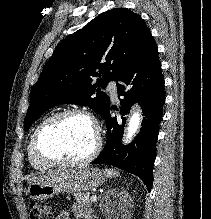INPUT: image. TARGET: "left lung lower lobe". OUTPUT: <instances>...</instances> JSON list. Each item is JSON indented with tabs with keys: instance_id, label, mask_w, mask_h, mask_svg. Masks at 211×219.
<instances>
[{
	"instance_id": "0a47b994",
	"label": "left lung lower lobe",
	"mask_w": 211,
	"mask_h": 219,
	"mask_svg": "<svg viewBox=\"0 0 211 219\" xmlns=\"http://www.w3.org/2000/svg\"><path fill=\"white\" fill-rule=\"evenodd\" d=\"M120 100V113L126 115L134 102L143 110L141 131L128 146L121 145L123 124L126 118L111 117L109 106L102 115L106 121L108 137L104 149L92 162L118 167L140 177L148 191L153 183V164L156 157V141L165 102L164 78L158 58V48L150 35L134 59L116 78ZM115 109V108H114ZM116 110H118L116 108Z\"/></svg>"
}]
</instances>
